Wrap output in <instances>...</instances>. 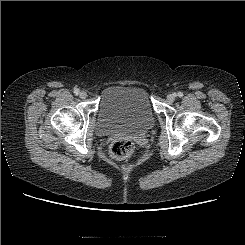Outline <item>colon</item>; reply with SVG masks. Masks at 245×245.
<instances>
[{
    "label": "colon",
    "instance_id": "colon-1",
    "mask_svg": "<svg viewBox=\"0 0 245 245\" xmlns=\"http://www.w3.org/2000/svg\"><path fill=\"white\" fill-rule=\"evenodd\" d=\"M134 151V144L130 139L119 138L112 142L110 154L114 158H126Z\"/></svg>",
    "mask_w": 245,
    "mask_h": 245
}]
</instances>
